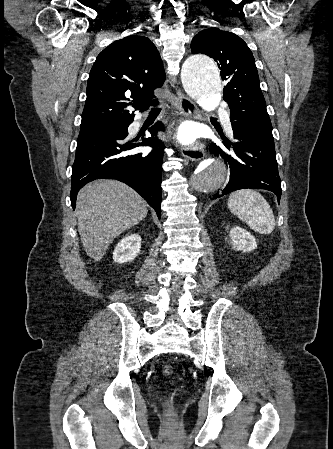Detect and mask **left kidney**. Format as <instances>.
Listing matches in <instances>:
<instances>
[{
    "label": "left kidney",
    "instance_id": "1",
    "mask_svg": "<svg viewBox=\"0 0 333 449\" xmlns=\"http://www.w3.org/2000/svg\"><path fill=\"white\" fill-rule=\"evenodd\" d=\"M230 239L233 248L237 251L251 252L257 247L255 237L240 226L231 228Z\"/></svg>",
    "mask_w": 333,
    "mask_h": 449
}]
</instances>
